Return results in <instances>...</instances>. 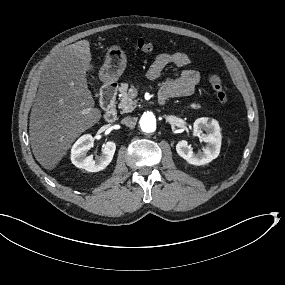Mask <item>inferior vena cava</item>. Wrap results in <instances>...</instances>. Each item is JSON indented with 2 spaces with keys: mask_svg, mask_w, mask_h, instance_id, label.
Listing matches in <instances>:
<instances>
[{
  "mask_svg": "<svg viewBox=\"0 0 285 285\" xmlns=\"http://www.w3.org/2000/svg\"><path fill=\"white\" fill-rule=\"evenodd\" d=\"M137 122V118L136 117H130L127 116L125 118L122 119L121 123L125 124L127 127L133 129L136 125Z\"/></svg>",
  "mask_w": 285,
  "mask_h": 285,
  "instance_id": "inferior-vena-cava-1",
  "label": "inferior vena cava"
}]
</instances>
